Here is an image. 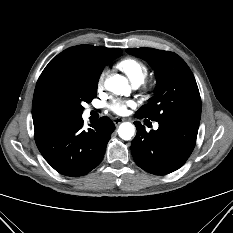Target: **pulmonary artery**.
Here are the masks:
<instances>
[{"mask_svg": "<svg viewBox=\"0 0 233 233\" xmlns=\"http://www.w3.org/2000/svg\"><path fill=\"white\" fill-rule=\"evenodd\" d=\"M137 86H138V84H135V85H134V87H137ZM154 128H155V129L158 128V123H155V124H154Z\"/></svg>", "mask_w": 233, "mask_h": 233, "instance_id": "obj_1", "label": "pulmonary artery"}]
</instances>
